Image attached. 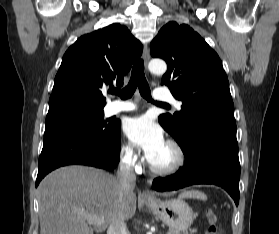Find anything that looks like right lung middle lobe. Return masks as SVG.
Returning a JSON list of instances; mask_svg holds the SVG:
<instances>
[{
    "instance_id": "right-lung-middle-lobe-1",
    "label": "right lung middle lobe",
    "mask_w": 279,
    "mask_h": 234,
    "mask_svg": "<svg viewBox=\"0 0 279 234\" xmlns=\"http://www.w3.org/2000/svg\"><path fill=\"white\" fill-rule=\"evenodd\" d=\"M116 129L107 124L103 109L77 105L63 106L48 111L44 138L64 132H84L106 140Z\"/></svg>"
}]
</instances>
